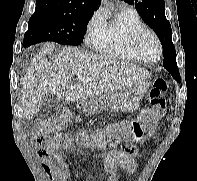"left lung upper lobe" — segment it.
Masks as SVG:
<instances>
[{
  "mask_svg": "<svg viewBox=\"0 0 197 181\" xmlns=\"http://www.w3.org/2000/svg\"><path fill=\"white\" fill-rule=\"evenodd\" d=\"M135 8L143 21L150 26L161 41L163 47V66L179 82V71L176 63V51L172 43L170 22L165 17L164 0H124Z\"/></svg>",
  "mask_w": 197,
  "mask_h": 181,
  "instance_id": "obj_1",
  "label": "left lung upper lobe"
}]
</instances>
